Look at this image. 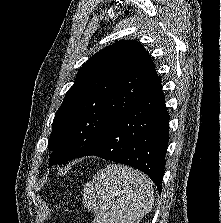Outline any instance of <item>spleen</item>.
<instances>
[{"instance_id":"spleen-1","label":"spleen","mask_w":221,"mask_h":223,"mask_svg":"<svg viewBox=\"0 0 221 223\" xmlns=\"http://www.w3.org/2000/svg\"><path fill=\"white\" fill-rule=\"evenodd\" d=\"M83 204L96 214L93 223H139L153 207L154 190L141 172L109 164L84 187Z\"/></svg>"}]
</instances>
